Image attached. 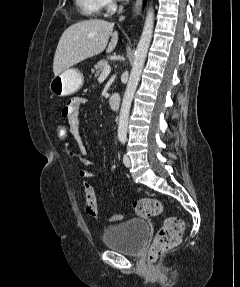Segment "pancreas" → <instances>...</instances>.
<instances>
[{"label": "pancreas", "instance_id": "obj_1", "mask_svg": "<svg viewBox=\"0 0 240 287\" xmlns=\"http://www.w3.org/2000/svg\"><path fill=\"white\" fill-rule=\"evenodd\" d=\"M109 65L106 59L98 61L94 67L91 69V73H94L95 76H98L101 71H103L104 67Z\"/></svg>", "mask_w": 240, "mask_h": 287}]
</instances>
